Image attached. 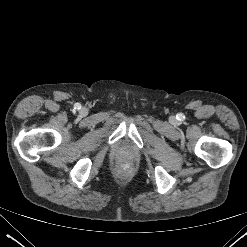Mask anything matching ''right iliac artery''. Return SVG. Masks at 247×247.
<instances>
[{"mask_svg": "<svg viewBox=\"0 0 247 247\" xmlns=\"http://www.w3.org/2000/svg\"><path fill=\"white\" fill-rule=\"evenodd\" d=\"M74 108L75 109H80L81 108V105L79 103H76Z\"/></svg>", "mask_w": 247, "mask_h": 247, "instance_id": "1", "label": "right iliac artery"}]
</instances>
